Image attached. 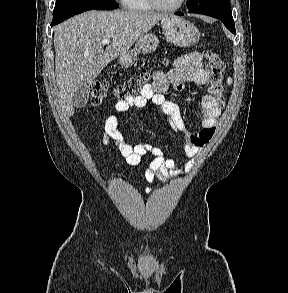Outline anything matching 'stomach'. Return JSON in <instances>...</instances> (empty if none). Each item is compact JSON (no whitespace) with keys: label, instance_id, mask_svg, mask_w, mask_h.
<instances>
[{"label":"stomach","instance_id":"obj_1","mask_svg":"<svg viewBox=\"0 0 288 293\" xmlns=\"http://www.w3.org/2000/svg\"><path fill=\"white\" fill-rule=\"evenodd\" d=\"M166 39L178 47H190L200 39V31L183 18L168 15L161 22ZM159 39L152 33H146L138 38L133 49L119 57L122 67L128 68L137 60L140 53L147 54L155 51Z\"/></svg>","mask_w":288,"mask_h":293}]
</instances>
